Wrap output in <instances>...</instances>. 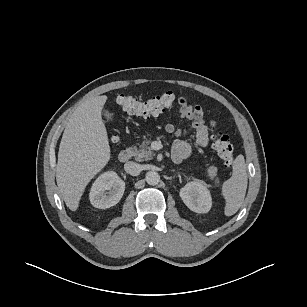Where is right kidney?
I'll return each instance as SVG.
<instances>
[{"mask_svg": "<svg viewBox=\"0 0 307 307\" xmlns=\"http://www.w3.org/2000/svg\"><path fill=\"white\" fill-rule=\"evenodd\" d=\"M108 191V192H106ZM125 191V182L113 172L101 174L93 183L89 194L91 204L99 209L116 205Z\"/></svg>", "mask_w": 307, "mask_h": 307, "instance_id": "ca27d5eb", "label": "right kidney"}]
</instances>
